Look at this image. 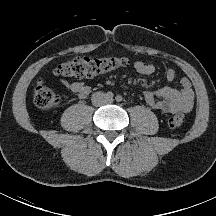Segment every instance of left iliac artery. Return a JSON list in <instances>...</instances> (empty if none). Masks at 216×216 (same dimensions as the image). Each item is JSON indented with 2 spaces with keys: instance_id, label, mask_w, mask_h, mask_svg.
Wrapping results in <instances>:
<instances>
[{
  "instance_id": "left-iliac-artery-1",
  "label": "left iliac artery",
  "mask_w": 216,
  "mask_h": 216,
  "mask_svg": "<svg viewBox=\"0 0 216 216\" xmlns=\"http://www.w3.org/2000/svg\"><path fill=\"white\" fill-rule=\"evenodd\" d=\"M115 99L117 102H121L123 100L122 96L120 95H117Z\"/></svg>"
}]
</instances>
